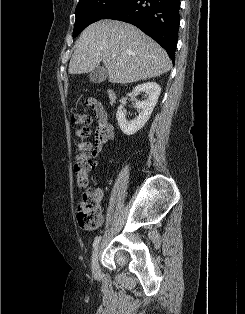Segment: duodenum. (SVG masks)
<instances>
[{"instance_id": "1", "label": "duodenum", "mask_w": 245, "mask_h": 314, "mask_svg": "<svg viewBox=\"0 0 245 314\" xmlns=\"http://www.w3.org/2000/svg\"><path fill=\"white\" fill-rule=\"evenodd\" d=\"M108 99H109V101L112 103V102H114L115 101V99H116V93H115V91L114 90H112V89H110L109 91H108Z\"/></svg>"}]
</instances>
